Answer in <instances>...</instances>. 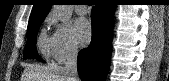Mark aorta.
<instances>
[{
	"label": "aorta",
	"instance_id": "762f6f07",
	"mask_svg": "<svg viewBox=\"0 0 169 81\" xmlns=\"http://www.w3.org/2000/svg\"><path fill=\"white\" fill-rule=\"evenodd\" d=\"M53 10L58 19L63 23H67L72 17L73 9L71 5H54Z\"/></svg>",
	"mask_w": 169,
	"mask_h": 81
}]
</instances>
